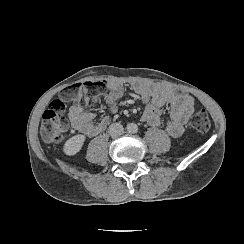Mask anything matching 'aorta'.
Instances as JSON below:
<instances>
[{
  "mask_svg": "<svg viewBox=\"0 0 244 244\" xmlns=\"http://www.w3.org/2000/svg\"><path fill=\"white\" fill-rule=\"evenodd\" d=\"M126 129L129 133H136L138 131V126L135 123H129Z\"/></svg>",
  "mask_w": 244,
  "mask_h": 244,
  "instance_id": "obj_1",
  "label": "aorta"
}]
</instances>
